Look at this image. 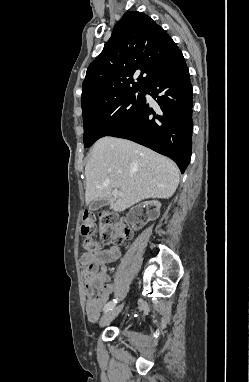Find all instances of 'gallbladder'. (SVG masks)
I'll return each mask as SVG.
<instances>
[{
  "label": "gallbladder",
  "instance_id": "obj_1",
  "mask_svg": "<svg viewBox=\"0 0 249 382\" xmlns=\"http://www.w3.org/2000/svg\"><path fill=\"white\" fill-rule=\"evenodd\" d=\"M108 203H109L108 199H105V198H103V199H96V200H94V201H92L90 203L89 209L91 211H96V210H99L100 208L108 205Z\"/></svg>",
  "mask_w": 249,
  "mask_h": 382
}]
</instances>
